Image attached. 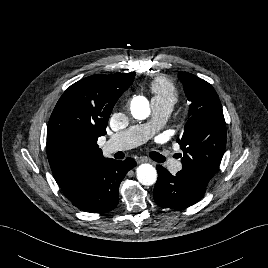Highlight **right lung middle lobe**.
I'll return each instance as SVG.
<instances>
[{"label": "right lung middle lobe", "mask_w": 268, "mask_h": 268, "mask_svg": "<svg viewBox=\"0 0 268 268\" xmlns=\"http://www.w3.org/2000/svg\"><path fill=\"white\" fill-rule=\"evenodd\" d=\"M53 154L62 163L70 164L81 160L85 152L76 142L69 139H61L55 144Z\"/></svg>", "instance_id": "obj_1"}]
</instances>
